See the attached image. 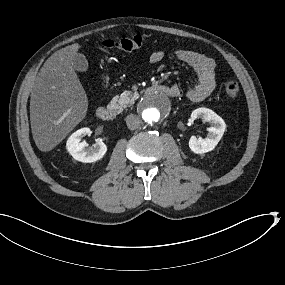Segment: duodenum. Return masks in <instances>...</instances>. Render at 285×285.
Instances as JSON below:
<instances>
[{
    "label": "duodenum",
    "mask_w": 285,
    "mask_h": 285,
    "mask_svg": "<svg viewBox=\"0 0 285 285\" xmlns=\"http://www.w3.org/2000/svg\"><path fill=\"white\" fill-rule=\"evenodd\" d=\"M149 92H157L162 95L174 97L176 92L169 86L163 84H152L146 89ZM97 117L102 121H110L115 116V111L110 106H101L96 111Z\"/></svg>",
    "instance_id": "410a0bca"
}]
</instances>
